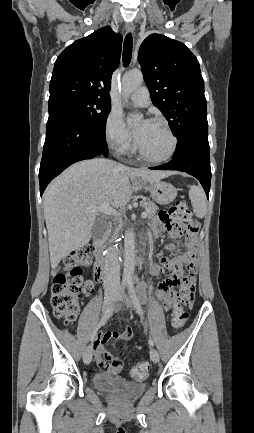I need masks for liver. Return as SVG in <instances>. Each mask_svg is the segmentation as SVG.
Instances as JSON below:
<instances>
[{
	"label": "liver",
	"instance_id": "6515ba94",
	"mask_svg": "<svg viewBox=\"0 0 254 433\" xmlns=\"http://www.w3.org/2000/svg\"><path fill=\"white\" fill-rule=\"evenodd\" d=\"M172 174L170 171L130 168L104 158L70 166L44 194L51 267L55 269L65 256L90 241L96 212L89 209L105 203L123 207L133 191L142 188L137 178L150 183Z\"/></svg>",
	"mask_w": 254,
	"mask_h": 433
}]
</instances>
